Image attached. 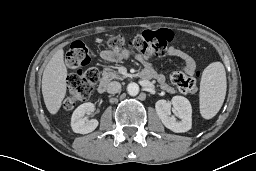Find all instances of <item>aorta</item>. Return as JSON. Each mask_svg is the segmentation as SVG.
I'll use <instances>...</instances> for the list:
<instances>
[{
  "label": "aorta",
  "mask_w": 256,
  "mask_h": 171,
  "mask_svg": "<svg viewBox=\"0 0 256 171\" xmlns=\"http://www.w3.org/2000/svg\"><path fill=\"white\" fill-rule=\"evenodd\" d=\"M127 92L131 96H136L139 93V85L137 83H129L127 86Z\"/></svg>",
  "instance_id": "obj_1"
}]
</instances>
